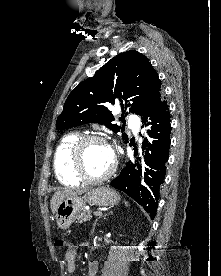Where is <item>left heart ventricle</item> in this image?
I'll list each match as a JSON object with an SVG mask.
<instances>
[{
	"instance_id": "left-heart-ventricle-1",
	"label": "left heart ventricle",
	"mask_w": 221,
	"mask_h": 276,
	"mask_svg": "<svg viewBox=\"0 0 221 276\" xmlns=\"http://www.w3.org/2000/svg\"><path fill=\"white\" fill-rule=\"evenodd\" d=\"M84 165L92 176L104 174L112 165L113 151L105 143L90 142L84 148Z\"/></svg>"
}]
</instances>
